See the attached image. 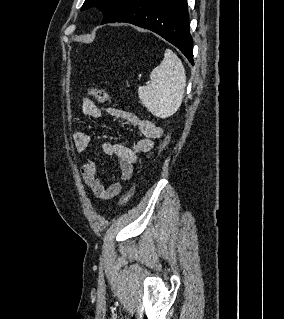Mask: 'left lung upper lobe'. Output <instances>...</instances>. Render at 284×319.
<instances>
[{
	"mask_svg": "<svg viewBox=\"0 0 284 319\" xmlns=\"http://www.w3.org/2000/svg\"><path fill=\"white\" fill-rule=\"evenodd\" d=\"M126 0H85L81 11L90 7H98L104 14L102 24L106 23Z\"/></svg>",
	"mask_w": 284,
	"mask_h": 319,
	"instance_id": "obj_1",
	"label": "left lung upper lobe"
}]
</instances>
